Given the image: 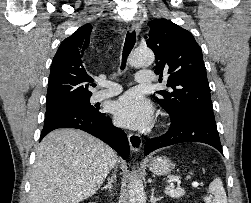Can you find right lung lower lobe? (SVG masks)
Listing matches in <instances>:
<instances>
[{"mask_svg": "<svg viewBox=\"0 0 251 203\" xmlns=\"http://www.w3.org/2000/svg\"><path fill=\"white\" fill-rule=\"evenodd\" d=\"M58 128H76L98 137L111 146L123 159L129 156L130 148L126 134L113 126L105 113L82 110H65L46 116L40 139Z\"/></svg>", "mask_w": 251, "mask_h": 203, "instance_id": "obj_1", "label": "right lung lower lobe"}]
</instances>
